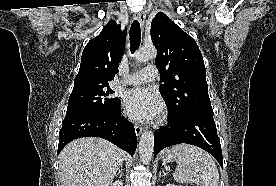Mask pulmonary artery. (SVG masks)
<instances>
[{
	"label": "pulmonary artery",
	"instance_id": "obj_1",
	"mask_svg": "<svg viewBox=\"0 0 276 186\" xmlns=\"http://www.w3.org/2000/svg\"><path fill=\"white\" fill-rule=\"evenodd\" d=\"M158 76V70L155 66H147L144 70L131 74L125 79L128 85H139L152 81Z\"/></svg>",
	"mask_w": 276,
	"mask_h": 186
}]
</instances>
